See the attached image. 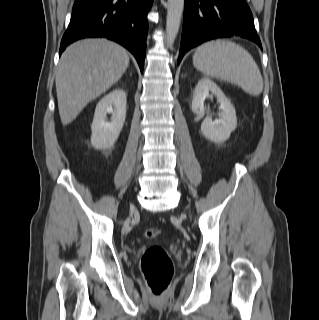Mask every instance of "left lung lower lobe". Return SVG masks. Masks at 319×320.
<instances>
[{"instance_id":"0a47b994","label":"left lung lower lobe","mask_w":319,"mask_h":320,"mask_svg":"<svg viewBox=\"0 0 319 320\" xmlns=\"http://www.w3.org/2000/svg\"><path fill=\"white\" fill-rule=\"evenodd\" d=\"M239 36L262 49L245 0H185L178 64L191 48L214 38Z\"/></svg>"}]
</instances>
